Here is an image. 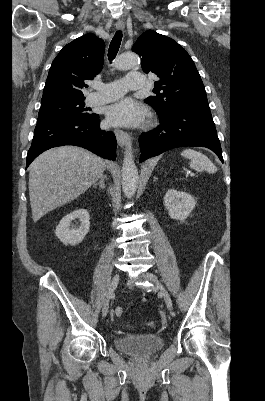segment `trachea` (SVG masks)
Masks as SVG:
<instances>
[{"label": "trachea", "instance_id": "trachea-1", "mask_svg": "<svg viewBox=\"0 0 265 401\" xmlns=\"http://www.w3.org/2000/svg\"><path fill=\"white\" fill-rule=\"evenodd\" d=\"M121 41H122V32H121V30H118L115 33V35L109 45L108 59L110 61H112L116 57L117 52L119 51V48H120Z\"/></svg>", "mask_w": 265, "mask_h": 401}]
</instances>
